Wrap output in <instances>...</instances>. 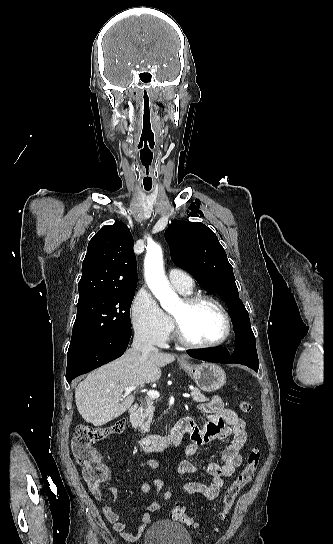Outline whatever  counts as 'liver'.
Returning <instances> with one entry per match:
<instances>
[{
    "label": "liver",
    "instance_id": "1",
    "mask_svg": "<svg viewBox=\"0 0 333 544\" xmlns=\"http://www.w3.org/2000/svg\"><path fill=\"white\" fill-rule=\"evenodd\" d=\"M175 356L155 349L143 356L140 351L128 349L125 354L94 370L77 386L75 401L83 419L94 426H103L121 416L134 402L135 396H123L126 387L141 389L161 377L162 366Z\"/></svg>",
    "mask_w": 333,
    "mask_h": 544
}]
</instances>
